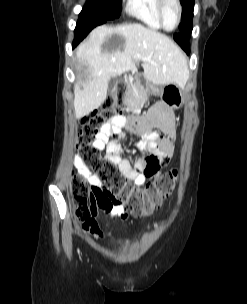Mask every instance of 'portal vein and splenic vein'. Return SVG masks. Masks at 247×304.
<instances>
[{
  "instance_id": "obj_1",
  "label": "portal vein and splenic vein",
  "mask_w": 247,
  "mask_h": 304,
  "mask_svg": "<svg viewBox=\"0 0 247 304\" xmlns=\"http://www.w3.org/2000/svg\"><path fill=\"white\" fill-rule=\"evenodd\" d=\"M136 56H137V58H139V59L147 60L146 58L142 57L140 54H137Z\"/></svg>"
}]
</instances>
